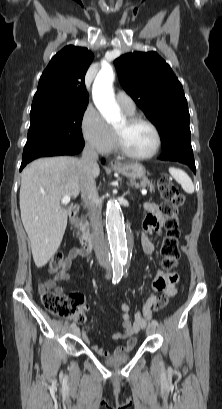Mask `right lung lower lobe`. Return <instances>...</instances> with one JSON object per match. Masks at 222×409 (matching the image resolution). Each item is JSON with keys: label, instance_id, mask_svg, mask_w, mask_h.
<instances>
[{"label": "right lung lower lobe", "instance_id": "right-lung-lower-lobe-1", "mask_svg": "<svg viewBox=\"0 0 222 409\" xmlns=\"http://www.w3.org/2000/svg\"><path fill=\"white\" fill-rule=\"evenodd\" d=\"M83 147H84V146H82L81 148L75 150L73 153L66 154V155L77 154V153H79V152L83 149ZM44 156H54V155L36 156V157H32V158H28V159L22 160L21 167H20V171H21V170L25 167V165H26L27 163H29L30 161H32V160H34V159H36V158H39V157H44ZM102 163H104V160H103V159H102Z\"/></svg>", "mask_w": 222, "mask_h": 409}]
</instances>
